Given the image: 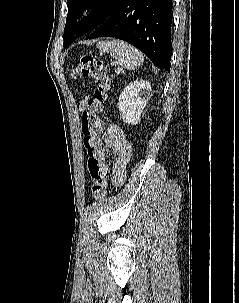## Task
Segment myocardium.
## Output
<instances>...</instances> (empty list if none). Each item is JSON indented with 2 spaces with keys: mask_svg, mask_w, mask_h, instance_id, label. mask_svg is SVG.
<instances>
[{
  "mask_svg": "<svg viewBox=\"0 0 239 303\" xmlns=\"http://www.w3.org/2000/svg\"><path fill=\"white\" fill-rule=\"evenodd\" d=\"M98 10V7L96 5H89L86 10H85V13L88 14V15H91V14H94L95 12H97Z\"/></svg>",
  "mask_w": 239,
  "mask_h": 303,
  "instance_id": "obj_1",
  "label": "myocardium"
}]
</instances>
